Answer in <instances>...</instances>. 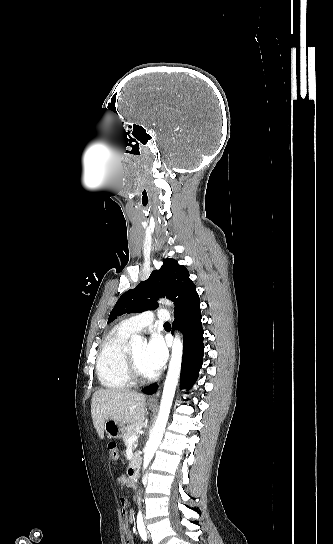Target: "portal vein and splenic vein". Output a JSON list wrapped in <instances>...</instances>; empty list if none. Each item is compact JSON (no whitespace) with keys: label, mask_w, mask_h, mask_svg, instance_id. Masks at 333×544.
Returning a JSON list of instances; mask_svg holds the SVG:
<instances>
[{"label":"portal vein and splenic vein","mask_w":333,"mask_h":544,"mask_svg":"<svg viewBox=\"0 0 333 544\" xmlns=\"http://www.w3.org/2000/svg\"><path fill=\"white\" fill-rule=\"evenodd\" d=\"M137 439H138L137 435H132V436H130L128 438L127 442H128V444H133V443H135L137 441Z\"/></svg>","instance_id":"portal-vein-and-splenic-vein-1"}]
</instances>
